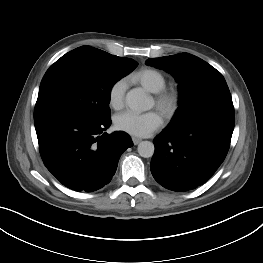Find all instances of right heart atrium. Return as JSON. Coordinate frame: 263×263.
Masks as SVG:
<instances>
[{"label": "right heart atrium", "mask_w": 263, "mask_h": 263, "mask_svg": "<svg viewBox=\"0 0 263 263\" xmlns=\"http://www.w3.org/2000/svg\"><path fill=\"white\" fill-rule=\"evenodd\" d=\"M126 84L124 80H116L108 89V104L114 110H120L124 105Z\"/></svg>", "instance_id": "d8ad5b80"}]
</instances>
